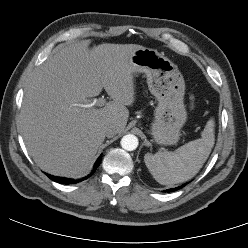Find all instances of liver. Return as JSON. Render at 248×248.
Listing matches in <instances>:
<instances>
[{
  "instance_id": "liver-1",
  "label": "liver",
  "mask_w": 248,
  "mask_h": 248,
  "mask_svg": "<svg viewBox=\"0 0 248 248\" xmlns=\"http://www.w3.org/2000/svg\"><path fill=\"white\" fill-rule=\"evenodd\" d=\"M136 44L86 41L61 46L32 74L26 85L20 129L35 163L52 175L80 178L92 167L105 140L103 128L113 124L118 133L127 124L135 101L131 61ZM105 89L112 101L97 109L82 108L88 98Z\"/></svg>"
}]
</instances>
